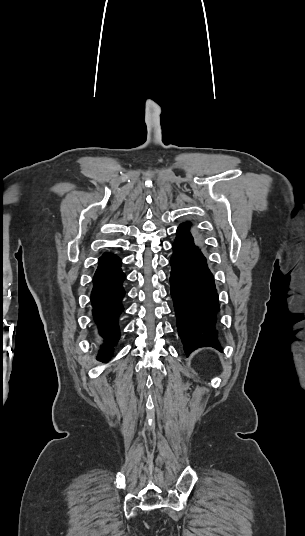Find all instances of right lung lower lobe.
<instances>
[{
    "instance_id": "98d812e1",
    "label": "right lung lower lobe",
    "mask_w": 305,
    "mask_h": 536,
    "mask_svg": "<svg viewBox=\"0 0 305 536\" xmlns=\"http://www.w3.org/2000/svg\"><path fill=\"white\" fill-rule=\"evenodd\" d=\"M125 278L118 256L104 253L99 258L93 278L91 302L95 323L100 335L105 338L106 346H102L99 354L101 360L107 361L111 357V346L119 339L118 318L124 310L122 298L125 296Z\"/></svg>"
}]
</instances>
